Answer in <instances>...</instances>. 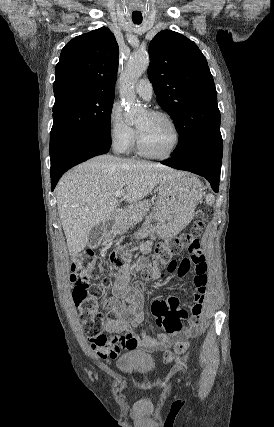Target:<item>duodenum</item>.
Returning a JSON list of instances; mask_svg holds the SVG:
<instances>
[{
    "label": "duodenum",
    "mask_w": 274,
    "mask_h": 427,
    "mask_svg": "<svg viewBox=\"0 0 274 427\" xmlns=\"http://www.w3.org/2000/svg\"><path fill=\"white\" fill-rule=\"evenodd\" d=\"M112 222L111 221H108L106 224H105V231L106 232H109L110 230H111V228H112Z\"/></svg>",
    "instance_id": "duodenum-1"
}]
</instances>
